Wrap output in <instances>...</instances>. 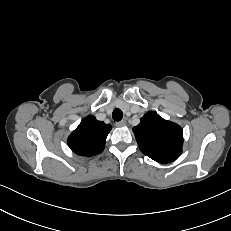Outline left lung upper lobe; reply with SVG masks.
Wrapping results in <instances>:
<instances>
[{
	"mask_svg": "<svg viewBox=\"0 0 231 231\" xmlns=\"http://www.w3.org/2000/svg\"><path fill=\"white\" fill-rule=\"evenodd\" d=\"M140 150L159 163H170L182 152L183 133L179 125L156 112L146 113L133 128Z\"/></svg>",
	"mask_w": 231,
	"mask_h": 231,
	"instance_id": "obj_1",
	"label": "left lung upper lobe"
}]
</instances>
